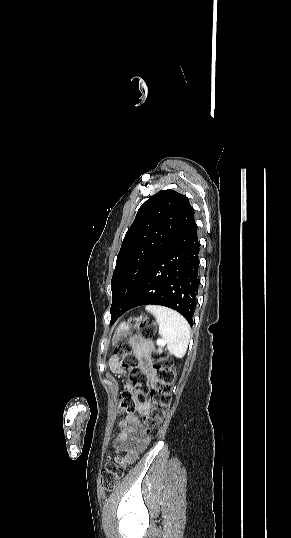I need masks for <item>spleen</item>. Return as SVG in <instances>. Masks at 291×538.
<instances>
[{"label": "spleen", "mask_w": 291, "mask_h": 538, "mask_svg": "<svg viewBox=\"0 0 291 538\" xmlns=\"http://www.w3.org/2000/svg\"><path fill=\"white\" fill-rule=\"evenodd\" d=\"M146 310L151 312L159 324V335L168 350L176 357L185 354L189 339L190 325L178 312L163 306L149 305Z\"/></svg>", "instance_id": "obj_1"}]
</instances>
